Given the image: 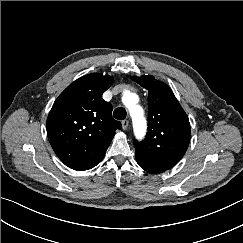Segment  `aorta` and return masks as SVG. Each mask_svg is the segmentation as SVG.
Masks as SVG:
<instances>
[{
    "label": "aorta",
    "mask_w": 243,
    "mask_h": 243,
    "mask_svg": "<svg viewBox=\"0 0 243 243\" xmlns=\"http://www.w3.org/2000/svg\"><path fill=\"white\" fill-rule=\"evenodd\" d=\"M123 103L129 108L130 114L133 118L134 130L138 137H142L145 133L146 123L143 118V110L136 105L137 96L133 93H126L123 96Z\"/></svg>",
    "instance_id": "762f6f07"
}]
</instances>
